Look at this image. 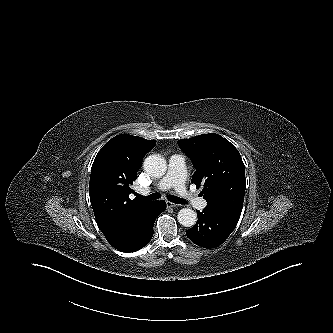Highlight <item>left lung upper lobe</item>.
Listing matches in <instances>:
<instances>
[{"mask_svg": "<svg viewBox=\"0 0 333 333\" xmlns=\"http://www.w3.org/2000/svg\"><path fill=\"white\" fill-rule=\"evenodd\" d=\"M178 145L196 169L192 183L201 185L207 206L240 218L246 188L245 169L235 146L220 135L209 133L180 139Z\"/></svg>", "mask_w": 333, "mask_h": 333, "instance_id": "5c2ea615", "label": "left lung upper lobe"}]
</instances>
